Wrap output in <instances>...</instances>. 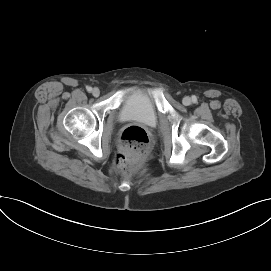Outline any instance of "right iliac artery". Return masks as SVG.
I'll return each instance as SVG.
<instances>
[{
  "mask_svg": "<svg viewBox=\"0 0 271 271\" xmlns=\"http://www.w3.org/2000/svg\"><path fill=\"white\" fill-rule=\"evenodd\" d=\"M86 89H87L88 92L92 91V88L90 86H87Z\"/></svg>",
  "mask_w": 271,
  "mask_h": 271,
  "instance_id": "1",
  "label": "right iliac artery"
}]
</instances>
